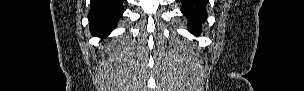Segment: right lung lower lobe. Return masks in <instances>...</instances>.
I'll use <instances>...</instances> for the list:
<instances>
[{
    "mask_svg": "<svg viewBox=\"0 0 304 91\" xmlns=\"http://www.w3.org/2000/svg\"><path fill=\"white\" fill-rule=\"evenodd\" d=\"M124 11L123 0H91L88 19L92 35L106 37Z\"/></svg>",
    "mask_w": 304,
    "mask_h": 91,
    "instance_id": "98d812e1",
    "label": "right lung lower lobe"
}]
</instances>
